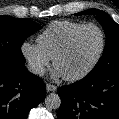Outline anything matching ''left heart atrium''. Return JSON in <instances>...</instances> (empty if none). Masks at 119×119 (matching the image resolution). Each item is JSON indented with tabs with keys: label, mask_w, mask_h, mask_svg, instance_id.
I'll list each match as a JSON object with an SVG mask.
<instances>
[{
	"label": "left heart atrium",
	"mask_w": 119,
	"mask_h": 119,
	"mask_svg": "<svg viewBox=\"0 0 119 119\" xmlns=\"http://www.w3.org/2000/svg\"><path fill=\"white\" fill-rule=\"evenodd\" d=\"M53 77L54 78H60V77H64V76L57 68H55L54 72H53Z\"/></svg>",
	"instance_id": "obj_1"
}]
</instances>
